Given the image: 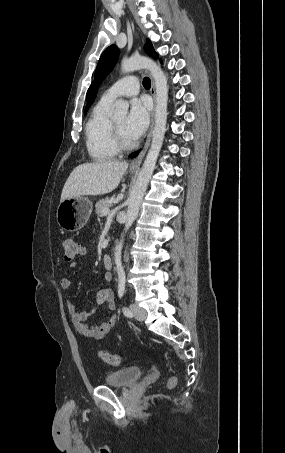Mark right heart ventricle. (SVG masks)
<instances>
[{
  "label": "right heart ventricle",
  "mask_w": 285,
  "mask_h": 453,
  "mask_svg": "<svg viewBox=\"0 0 285 453\" xmlns=\"http://www.w3.org/2000/svg\"><path fill=\"white\" fill-rule=\"evenodd\" d=\"M112 102L102 98L93 108L85 127L86 148L96 161L113 159L119 153L115 144L109 110Z\"/></svg>",
  "instance_id": "obj_1"
}]
</instances>
